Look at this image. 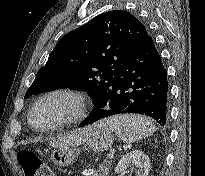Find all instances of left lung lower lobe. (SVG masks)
Instances as JSON below:
<instances>
[{"instance_id": "0a47b994", "label": "left lung lower lobe", "mask_w": 205, "mask_h": 176, "mask_svg": "<svg viewBox=\"0 0 205 176\" xmlns=\"http://www.w3.org/2000/svg\"><path fill=\"white\" fill-rule=\"evenodd\" d=\"M124 113L147 115L162 126L167 123V71L147 31L123 62L117 79L79 126Z\"/></svg>"}]
</instances>
